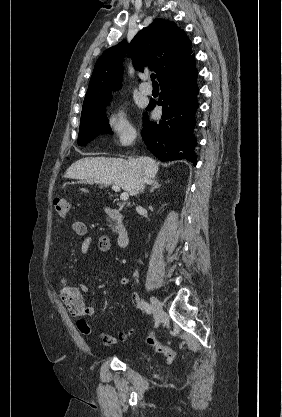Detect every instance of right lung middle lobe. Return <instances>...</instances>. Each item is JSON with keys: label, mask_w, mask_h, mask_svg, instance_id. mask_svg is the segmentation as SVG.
<instances>
[{"label": "right lung middle lobe", "mask_w": 282, "mask_h": 417, "mask_svg": "<svg viewBox=\"0 0 282 417\" xmlns=\"http://www.w3.org/2000/svg\"><path fill=\"white\" fill-rule=\"evenodd\" d=\"M111 93L89 96L84 99L78 144L85 145L98 134L111 133L105 107L111 100Z\"/></svg>", "instance_id": "right-lung-middle-lobe-1"}]
</instances>
